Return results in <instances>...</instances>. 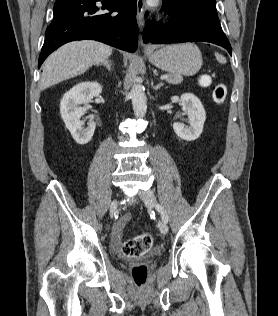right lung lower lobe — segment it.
Here are the masks:
<instances>
[{
    "label": "right lung lower lobe",
    "mask_w": 278,
    "mask_h": 316,
    "mask_svg": "<svg viewBox=\"0 0 278 316\" xmlns=\"http://www.w3.org/2000/svg\"><path fill=\"white\" fill-rule=\"evenodd\" d=\"M98 1L56 0L38 67L55 49L74 40L92 39L128 52L136 50L137 0H103L102 5Z\"/></svg>",
    "instance_id": "1"
}]
</instances>
